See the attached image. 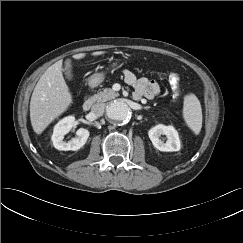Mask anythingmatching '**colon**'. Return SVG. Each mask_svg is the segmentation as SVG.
<instances>
[{"label": "colon", "instance_id": "1", "mask_svg": "<svg viewBox=\"0 0 243 243\" xmlns=\"http://www.w3.org/2000/svg\"><path fill=\"white\" fill-rule=\"evenodd\" d=\"M169 83L175 93L179 92L180 78L177 74L172 73L169 75Z\"/></svg>", "mask_w": 243, "mask_h": 243}]
</instances>
